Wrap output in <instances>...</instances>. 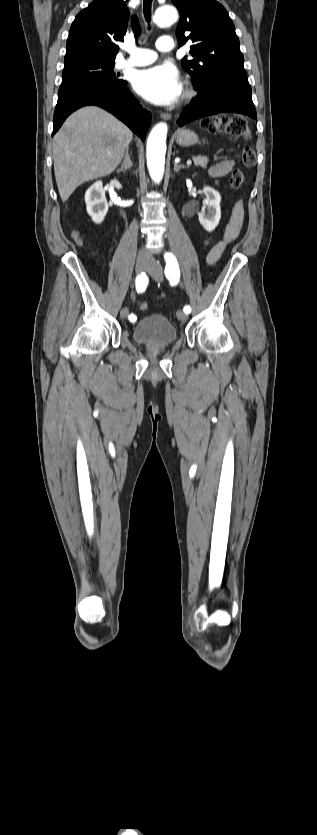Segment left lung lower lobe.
Instances as JSON below:
<instances>
[{"instance_id":"obj_1","label":"left lung lower lobe","mask_w":317,"mask_h":835,"mask_svg":"<svg viewBox=\"0 0 317 835\" xmlns=\"http://www.w3.org/2000/svg\"><path fill=\"white\" fill-rule=\"evenodd\" d=\"M195 89L198 94L179 117V126L218 113H238L257 119L245 71H219L209 83Z\"/></svg>"}]
</instances>
